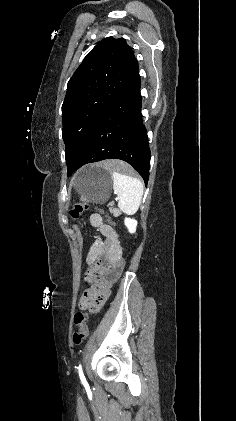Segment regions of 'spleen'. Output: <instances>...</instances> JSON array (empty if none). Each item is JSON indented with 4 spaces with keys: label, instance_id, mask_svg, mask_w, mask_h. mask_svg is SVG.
<instances>
[{
    "label": "spleen",
    "instance_id": "3e777b00",
    "mask_svg": "<svg viewBox=\"0 0 236 421\" xmlns=\"http://www.w3.org/2000/svg\"><path fill=\"white\" fill-rule=\"evenodd\" d=\"M112 166V162H110ZM108 168V166H107ZM113 188L117 194L118 206L125 215H135L141 204L144 184L135 176L120 174L115 168H112Z\"/></svg>",
    "mask_w": 236,
    "mask_h": 421
}]
</instances>
